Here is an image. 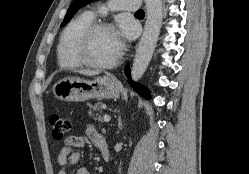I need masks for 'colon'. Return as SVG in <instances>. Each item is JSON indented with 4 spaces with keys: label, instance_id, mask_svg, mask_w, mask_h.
Here are the masks:
<instances>
[{
    "label": "colon",
    "instance_id": "obj_1",
    "mask_svg": "<svg viewBox=\"0 0 249 174\" xmlns=\"http://www.w3.org/2000/svg\"><path fill=\"white\" fill-rule=\"evenodd\" d=\"M48 124L53 137L56 139H62L71 129L70 120L58 112H51L49 114Z\"/></svg>",
    "mask_w": 249,
    "mask_h": 174
}]
</instances>
